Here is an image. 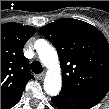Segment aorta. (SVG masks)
<instances>
[{
	"label": "aorta",
	"instance_id": "762f6f07",
	"mask_svg": "<svg viewBox=\"0 0 109 109\" xmlns=\"http://www.w3.org/2000/svg\"><path fill=\"white\" fill-rule=\"evenodd\" d=\"M37 52L42 64L48 68L44 80V90L50 96L59 94L62 86L61 69L59 59L54 47L42 40L37 47Z\"/></svg>",
	"mask_w": 109,
	"mask_h": 109
}]
</instances>
